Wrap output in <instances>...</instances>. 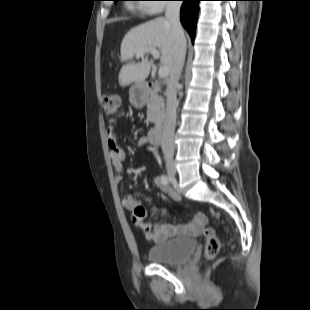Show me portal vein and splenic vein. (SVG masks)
Listing matches in <instances>:
<instances>
[{
	"label": "portal vein and splenic vein",
	"mask_w": 310,
	"mask_h": 310,
	"mask_svg": "<svg viewBox=\"0 0 310 310\" xmlns=\"http://www.w3.org/2000/svg\"><path fill=\"white\" fill-rule=\"evenodd\" d=\"M145 53H151L155 59H158L160 55L159 51L156 48L151 47V48H146V49L141 50L139 53H137L136 56L139 58V57H142ZM158 75L160 78L168 77L169 75L168 67L166 66L160 67Z\"/></svg>",
	"instance_id": "portal-vein-and-splenic-vein-1"
}]
</instances>
